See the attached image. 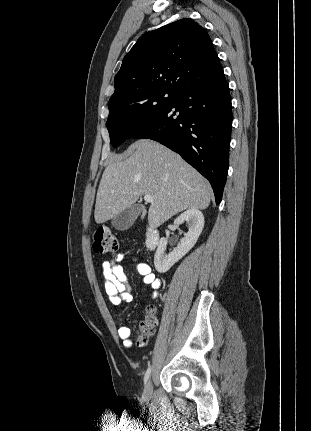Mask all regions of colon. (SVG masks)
<instances>
[{
    "mask_svg": "<svg viewBox=\"0 0 311 431\" xmlns=\"http://www.w3.org/2000/svg\"><path fill=\"white\" fill-rule=\"evenodd\" d=\"M119 248L116 235L108 228L100 227L94 233L93 249L98 254L113 253ZM158 323L157 310L149 307L145 318L138 326V344L144 345L148 338L154 334Z\"/></svg>",
    "mask_w": 311,
    "mask_h": 431,
    "instance_id": "1",
    "label": "colon"
}]
</instances>
